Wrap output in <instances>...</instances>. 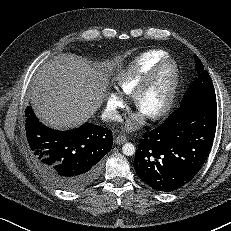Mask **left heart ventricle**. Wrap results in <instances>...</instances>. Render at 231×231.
<instances>
[{
  "label": "left heart ventricle",
  "instance_id": "1",
  "mask_svg": "<svg viewBox=\"0 0 231 231\" xmlns=\"http://www.w3.org/2000/svg\"><path fill=\"white\" fill-rule=\"evenodd\" d=\"M170 74L169 66L161 71L156 83L142 101L141 112L143 114L150 115L163 104L169 86Z\"/></svg>",
  "mask_w": 231,
  "mask_h": 231
}]
</instances>
